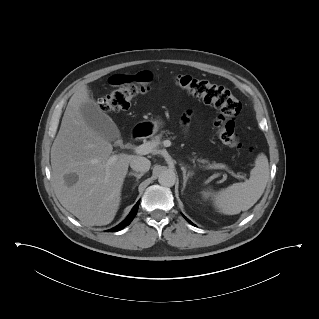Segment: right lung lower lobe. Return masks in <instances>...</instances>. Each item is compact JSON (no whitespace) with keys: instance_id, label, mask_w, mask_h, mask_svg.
Masks as SVG:
<instances>
[{"instance_id":"1","label":"right lung lower lobe","mask_w":319,"mask_h":319,"mask_svg":"<svg viewBox=\"0 0 319 319\" xmlns=\"http://www.w3.org/2000/svg\"><path fill=\"white\" fill-rule=\"evenodd\" d=\"M138 206H139V202L136 203V205L133 207V209L130 212V214L128 215V217L122 223H120L118 226L112 228L109 231L116 232V231L123 229L125 226L129 225L131 223V221L134 219V217L138 211Z\"/></svg>"}]
</instances>
